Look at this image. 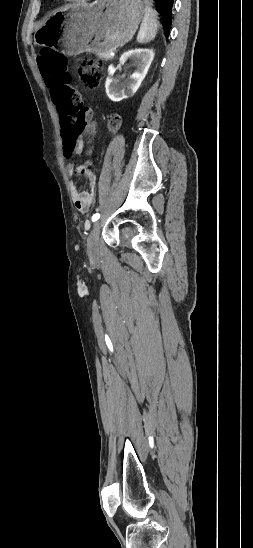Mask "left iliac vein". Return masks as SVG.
Returning <instances> with one entry per match:
<instances>
[{
	"label": "left iliac vein",
	"mask_w": 253,
	"mask_h": 548,
	"mask_svg": "<svg viewBox=\"0 0 253 548\" xmlns=\"http://www.w3.org/2000/svg\"><path fill=\"white\" fill-rule=\"evenodd\" d=\"M101 230V221H96L87 239L88 255L91 259H96L99 255V235Z\"/></svg>",
	"instance_id": "4c4485c4"
}]
</instances>
